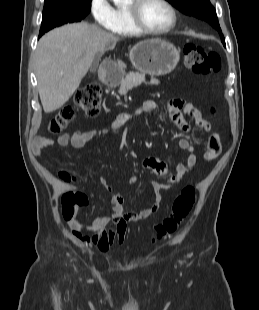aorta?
I'll return each instance as SVG.
<instances>
[{
  "label": "aorta",
  "mask_w": 259,
  "mask_h": 310,
  "mask_svg": "<svg viewBox=\"0 0 259 310\" xmlns=\"http://www.w3.org/2000/svg\"><path fill=\"white\" fill-rule=\"evenodd\" d=\"M116 5L121 4L124 0H112Z\"/></svg>",
  "instance_id": "762f6f07"
}]
</instances>
